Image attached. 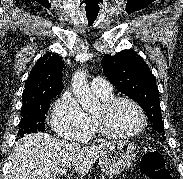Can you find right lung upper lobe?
I'll return each instance as SVG.
<instances>
[{
    "label": "right lung upper lobe",
    "mask_w": 183,
    "mask_h": 179,
    "mask_svg": "<svg viewBox=\"0 0 183 179\" xmlns=\"http://www.w3.org/2000/svg\"><path fill=\"white\" fill-rule=\"evenodd\" d=\"M64 62L52 52L39 58L33 67L23 91V104L43 97L57 96L63 90Z\"/></svg>",
    "instance_id": "obj_1"
}]
</instances>
